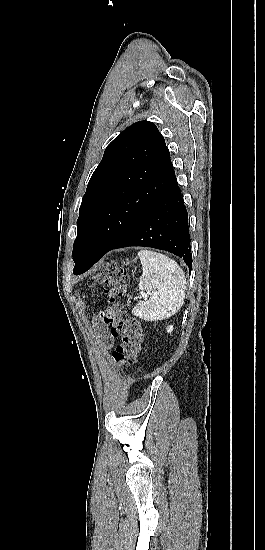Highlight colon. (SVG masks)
<instances>
[{"mask_svg":"<svg viewBox=\"0 0 265 550\" xmlns=\"http://www.w3.org/2000/svg\"><path fill=\"white\" fill-rule=\"evenodd\" d=\"M128 281L124 270L113 262L102 265L97 275L88 281L90 285H103L100 314L103 322L109 326L110 333L119 339L112 352L113 363L119 368H126L135 363L144 339L139 322L130 318L120 301Z\"/></svg>","mask_w":265,"mask_h":550,"instance_id":"5ec220e1","label":"colon"}]
</instances>
